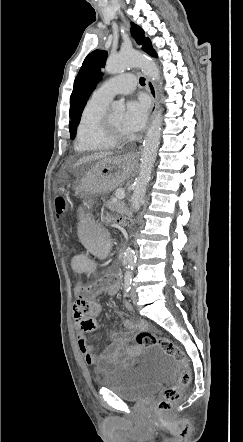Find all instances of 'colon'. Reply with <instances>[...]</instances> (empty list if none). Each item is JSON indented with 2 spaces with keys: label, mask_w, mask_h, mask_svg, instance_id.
Returning a JSON list of instances; mask_svg holds the SVG:
<instances>
[{
  "label": "colon",
  "mask_w": 243,
  "mask_h": 442,
  "mask_svg": "<svg viewBox=\"0 0 243 442\" xmlns=\"http://www.w3.org/2000/svg\"><path fill=\"white\" fill-rule=\"evenodd\" d=\"M67 203L63 197L55 199V208L59 217L63 216ZM100 221L109 222L110 226L118 229H141L143 224L138 222L137 216H129L127 213H102ZM82 311H85L82 306ZM136 341L142 348L158 347L165 354L171 356L181 367L178 381L164 390L163 397L157 408V417L167 419L175 404L180 400L183 390L191 383L192 374L189 368L188 358L185 352L166 337H159L150 332H140Z\"/></svg>",
  "instance_id": "obj_1"
}]
</instances>
